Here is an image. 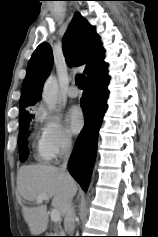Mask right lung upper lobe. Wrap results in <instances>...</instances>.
<instances>
[{
  "mask_svg": "<svg viewBox=\"0 0 158 237\" xmlns=\"http://www.w3.org/2000/svg\"><path fill=\"white\" fill-rule=\"evenodd\" d=\"M63 43L68 63L87 64L84 70L87 79L107 68L103 61L105 51L101 47L100 37L80 13H75L64 35ZM52 64L51 47L48 43L40 44L31 56L22 85L20 118L29 116L26 107L41 100L43 83L50 73Z\"/></svg>",
  "mask_w": 158,
  "mask_h": 237,
  "instance_id": "cb5924a9",
  "label": "right lung upper lobe"
}]
</instances>
